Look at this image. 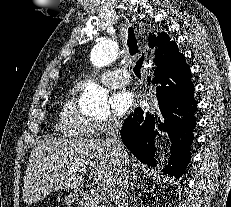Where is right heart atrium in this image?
Instances as JSON below:
<instances>
[{
	"instance_id": "d8ad5b80",
	"label": "right heart atrium",
	"mask_w": 231,
	"mask_h": 207,
	"mask_svg": "<svg viewBox=\"0 0 231 207\" xmlns=\"http://www.w3.org/2000/svg\"><path fill=\"white\" fill-rule=\"evenodd\" d=\"M95 130L94 133L96 134H103L105 132L114 130L121 125V121L113 116H108L102 119H98L94 121Z\"/></svg>"
}]
</instances>
